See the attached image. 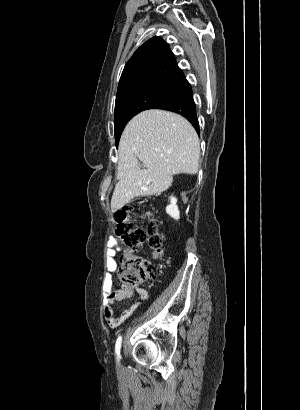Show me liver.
<instances>
[{"mask_svg":"<svg viewBox=\"0 0 300 410\" xmlns=\"http://www.w3.org/2000/svg\"><path fill=\"white\" fill-rule=\"evenodd\" d=\"M118 152L119 181L111 199L113 213L135 197L167 190L173 175L196 174L200 143L195 129L185 118L154 109L141 112L129 121Z\"/></svg>","mask_w":300,"mask_h":410,"instance_id":"obj_1","label":"liver"}]
</instances>
